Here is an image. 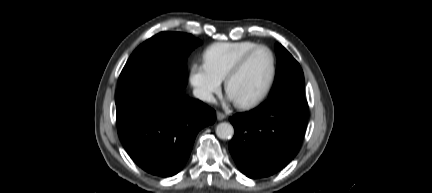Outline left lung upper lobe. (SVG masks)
I'll list each match as a JSON object with an SVG mask.
<instances>
[{"label": "left lung upper lobe", "mask_w": 432, "mask_h": 193, "mask_svg": "<svg viewBox=\"0 0 432 193\" xmlns=\"http://www.w3.org/2000/svg\"><path fill=\"white\" fill-rule=\"evenodd\" d=\"M277 73L270 98L297 97L305 98L304 75L299 63L280 44H276Z\"/></svg>", "instance_id": "1"}]
</instances>
